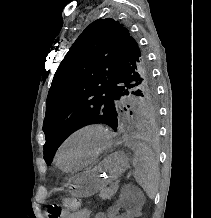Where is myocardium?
Here are the masks:
<instances>
[{
	"instance_id": "obj_1",
	"label": "myocardium",
	"mask_w": 211,
	"mask_h": 218,
	"mask_svg": "<svg viewBox=\"0 0 211 218\" xmlns=\"http://www.w3.org/2000/svg\"><path fill=\"white\" fill-rule=\"evenodd\" d=\"M83 133H95L102 138V144L97 149V151L92 155L90 159L78 165V167H86L93 162H95L106 150L109 149L112 143L113 134L111 130L104 124L99 122H90L85 123L83 125L78 126L74 130H72L60 143L57 152H56V161L57 164L62 166V153L64 147L75 137L83 134Z\"/></svg>"
}]
</instances>
